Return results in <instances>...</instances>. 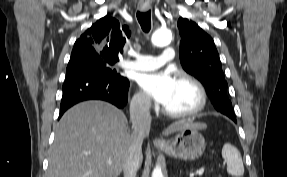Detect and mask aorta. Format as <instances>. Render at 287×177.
Returning <instances> with one entry per match:
<instances>
[{"mask_svg":"<svg viewBox=\"0 0 287 177\" xmlns=\"http://www.w3.org/2000/svg\"><path fill=\"white\" fill-rule=\"evenodd\" d=\"M172 33L169 30L159 29L155 31L151 37V41L155 46L162 47L171 43ZM152 177H163L162 170L156 166L152 172Z\"/></svg>","mask_w":287,"mask_h":177,"instance_id":"obj_1","label":"aorta"}]
</instances>
